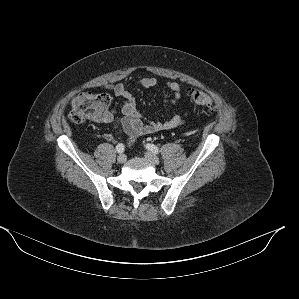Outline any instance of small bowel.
I'll return each instance as SVG.
<instances>
[{
    "instance_id": "c3829d8e",
    "label": "small bowel",
    "mask_w": 299,
    "mask_h": 299,
    "mask_svg": "<svg viewBox=\"0 0 299 299\" xmlns=\"http://www.w3.org/2000/svg\"><path fill=\"white\" fill-rule=\"evenodd\" d=\"M157 84V79L147 77L133 83H110L104 85L102 89L109 90L123 99L121 108L122 116L116 118L115 111L111 109L107 110L99 119H97L98 122H115L117 130L125 134L128 142H132L141 135L152 134L181 126L184 123V117L187 113L175 112L170 118L164 121H149L144 119L138 113L132 88L139 87L142 89H151ZM166 86L171 91L170 103L173 107H176L181 98L183 88L179 83L174 81H168ZM105 137L111 139L110 135H106Z\"/></svg>"
}]
</instances>
